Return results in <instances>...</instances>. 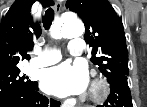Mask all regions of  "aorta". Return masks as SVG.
Here are the masks:
<instances>
[{
  "mask_svg": "<svg viewBox=\"0 0 147 107\" xmlns=\"http://www.w3.org/2000/svg\"><path fill=\"white\" fill-rule=\"evenodd\" d=\"M83 23L77 18L71 17L62 22L60 34L64 38L79 37L84 34Z\"/></svg>",
  "mask_w": 147,
  "mask_h": 107,
  "instance_id": "762f6f07",
  "label": "aorta"
}]
</instances>
